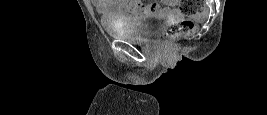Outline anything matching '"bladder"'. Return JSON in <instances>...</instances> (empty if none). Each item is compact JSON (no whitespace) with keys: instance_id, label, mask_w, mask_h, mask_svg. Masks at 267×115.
Listing matches in <instances>:
<instances>
[{"instance_id":"31cf9c89","label":"bladder","mask_w":267,"mask_h":115,"mask_svg":"<svg viewBox=\"0 0 267 115\" xmlns=\"http://www.w3.org/2000/svg\"><path fill=\"white\" fill-rule=\"evenodd\" d=\"M165 17L148 13L141 15L138 21L129 24L108 25V33L117 39L143 42L151 39L157 32Z\"/></svg>"}]
</instances>
